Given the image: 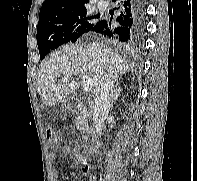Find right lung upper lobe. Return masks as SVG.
<instances>
[{
    "instance_id": "1",
    "label": "right lung upper lobe",
    "mask_w": 197,
    "mask_h": 181,
    "mask_svg": "<svg viewBox=\"0 0 197 181\" xmlns=\"http://www.w3.org/2000/svg\"><path fill=\"white\" fill-rule=\"evenodd\" d=\"M88 3L89 0H45L40 9L39 20L84 8Z\"/></svg>"
}]
</instances>
